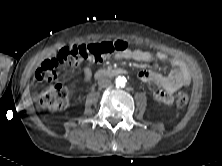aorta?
I'll return each instance as SVG.
<instances>
[{
    "mask_svg": "<svg viewBox=\"0 0 222 166\" xmlns=\"http://www.w3.org/2000/svg\"><path fill=\"white\" fill-rule=\"evenodd\" d=\"M126 85V78L124 76H118L116 78V86L124 87Z\"/></svg>",
    "mask_w": 222,
    "mask_h": 166,
    "instance_id": "762f6f07",
    "label": "aorta"
}]
</instances>
